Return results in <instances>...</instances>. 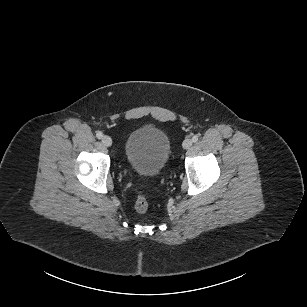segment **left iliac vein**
Returning a JSON list of instances; mask_svg holds the SVG:
<instances>
[{"instance_id":"obj_1","label":"left iliac vein","mask_w":307,"mask_h":307,"mask_svg":"<svg viewBox=\"0 0 307 307\" xmlns=\"http://www.w3.org/2000/svg\"><path fill=\"white\" fill-rule=\"evenodd\" d=\"M193 141L191 139H185L182 143L184 149H189L192 146Z\"/></svg>"}]
</instances>
